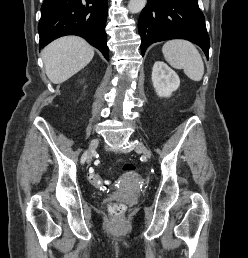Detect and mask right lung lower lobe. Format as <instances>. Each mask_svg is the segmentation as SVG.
<instances>
[{"mask_svg":"<svg viewBox=\"0 0 248 258\" xmlns=\"http://www.w3.org/2000/svg\"><path fill=\"white\" fill-rule=\"evenodd\" d=\"M107 12V0H44L38 25L39 47L64 35H78L108 60Z\"/></svg>","mask_w":248,"mask_h":258,"instance_id":"1","label":"right lung lower lobe"}]
</instances>
